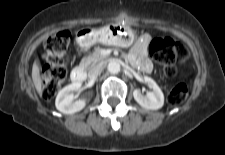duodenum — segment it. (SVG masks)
I'll return each mask as SVG.
<instances>
[{
  "mask_svg": "<svg viewBox=\"0 0 225 155\" xmlns=\"http://www.w3.org/2000/svg\"><path fill=\"white\" fill-rule=\"evenodd\" d=\"M86 79V72L83 67H76L71 73V80L74 83H81Z\"/></svg>",
  "mask_w": 225,
  "mask_h": 155,
  "instance_id": "1",
  "label": "duodenum"
}]
</instances>
